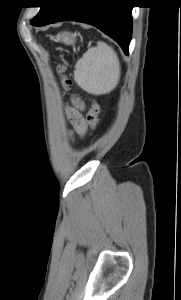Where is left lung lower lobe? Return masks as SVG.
<instances>
[{
    "label": "left lung lower lobe",
    "mask_w": 181,
    "mask_h": 300,
    "mask_svg": "<svg viewBox=\"0 0 181 300\" xmlns=\"http://www.w3.org/2000/svg\"><path fill=\"white\" fill-rule=\"evenodd\" d=\"M128 0H55L37 26L70 20L94 25L116 40L124 53L132 34V5Z\"/></svg>",
    "instance_id": "0a47b994"
}]
</instances>
